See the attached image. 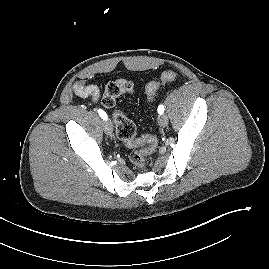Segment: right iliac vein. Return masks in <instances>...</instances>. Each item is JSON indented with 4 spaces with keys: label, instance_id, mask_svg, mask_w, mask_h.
Wrapping results in <instances>:
<instances>
[{
    "label": "right iliac vein",
    "instance_id": "obj_1",
    "mask_svg": "<svg viewBox=\"0 0 269 269\" xmlns=\"http://www.w3.org/2000/svg\"><path fill=\"white\" fill-rule=\"evenodd\" d=\"M104 131L107 135H112L113 133L112 123L108 120L104 122Z\"/></svg>",
    "mask_w": 269,
    "mask_h": 269
}]
</instances>
